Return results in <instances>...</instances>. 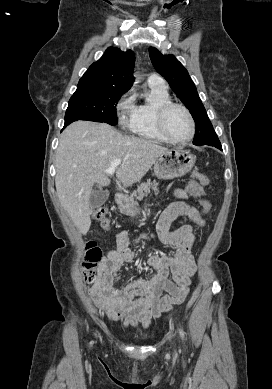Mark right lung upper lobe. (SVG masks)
I'll return each mask as SVG.
<instances>
[{
  "label": "right lung upper lobe",
  "mask_w": 272,
  "mask_h": 389,
  "mask_svg": "<svg viewBox=\"0 0 272 389\" xmlns=\"http://www.w3.org/2000/svg\"><path fill=\"white\" fill-rule=\"evenodd\" d=\"M135 55L133 51H121L109 47L79 80L78 85H93L128 91L133 84Z\"/></svg>",
  "instance_id": "right-lung-upper-lobe-1"
}]
</instances>
